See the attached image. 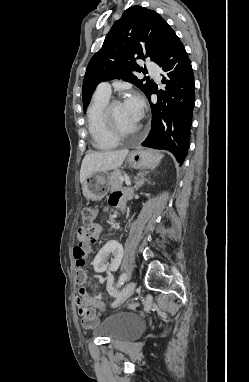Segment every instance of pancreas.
I'll use <instances>...</instances> for the list:
<instances>
[{"label":"pancreas","mask_w":249,"mask_h":382,"mask_svg":"<svg viewBox=\"0 0 249 382\" xmlns=\"http://www.w3.org/2000/svg\"><path fill=\"white\" fill-rule=\"evenodd\" d=\"M123 172L120 170H115L111 173L109 177L108 186L111 190L120 189L122 187L123 182L120 180V177H122Z\"/></svg>","instance_id":"pancreas-1"}]
</instances>
